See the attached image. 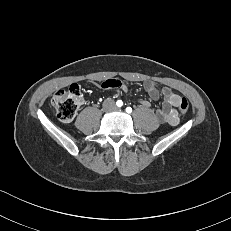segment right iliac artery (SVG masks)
<instances>
[{"instance_id":"1","label":"right iliac artery","mask_w":231,"mask_h":231,"mask_svg":"<svg viewBox=\"0 0 231 231\" xmlns=\"http://www.w3.org/2000/svg\"><path fill=\"white\" fill-rule=\"evenodd\" d=\"M116 104H117L118 107H121V106L123 105V102H122L121 100H118V101L116 102Z\"/></svg>"}]
</instances>
